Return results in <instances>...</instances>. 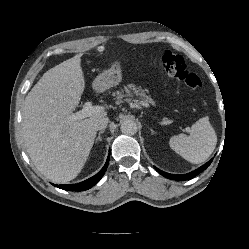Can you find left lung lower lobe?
Returning <instances> with one entry per match:
<instances>
[{"label":"left lung lower lobe","mask_w":249,"mask_h":249,"mask_svg":"<svg viewBox=\"0 0 249 249\" xmlns=\"http://www.w3.org/2000/svg\"><path fill=\"white\" fill-rule=\"evenodd\" d=\"M212 162V159L210 161H208L206 164L202 165L201 167H199L198 169L187 173V174H183V175H174V174H169L166 172H163L161 170H159L158 168H156V170L163 175L166 178L169 179H174V180H189L192 179L193 177H195L196 175H198L199 173H201L202 171H204Z\"/></svg>","instance_id":"1"}]
</instances>
